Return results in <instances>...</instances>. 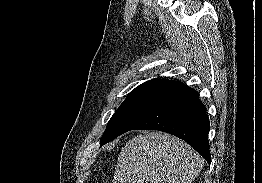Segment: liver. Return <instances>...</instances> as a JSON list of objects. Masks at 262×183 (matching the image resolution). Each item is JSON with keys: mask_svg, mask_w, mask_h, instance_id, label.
<instances>
[{"mask_svg": "<svg viewBox=\"0 0 262 183\" xmlns=\"http://www.w3.org/2000/svg\"><path fill=\"white\" fill-rule=\"evenodd\" d=\"M203 165V158L183 140L145 132L122 148L113 183H191Z\"/></svg>", "mask_w": 262, "mask_h": 183, "instance_id": "1", "label": "liver"}]
</instances>
